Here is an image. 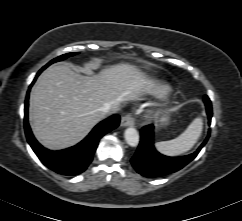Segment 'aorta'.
Instances as JSON below:
<instances>
[{
	"instance_id": "obj_1",
	"label": "aorta",
	"mask_w": 242,
	"mask_h": 221,
	"mask_svg": "<svg viewBox=\"0 0 242 221\" xmlns=\"http://www.w3.org/2000/svg\"><path fill=\"white\" fill-rule=\"evenodd\" d=\"M124 138L131 147H136L139 143V133L135 128H127L124 132Z\"/></svg>"
}]
</instances>
